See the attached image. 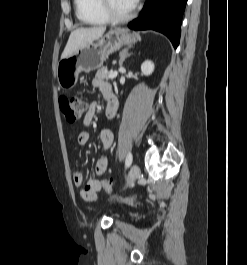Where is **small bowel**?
<instances>
[{"label":"small bowel","instance_id":"small-bowel-1","mask_svg":"<svg viewBox=\"0 0 247 265\" xmlns=\"http://www.w3.org/2000/svg\"><path fill=\"white\" fill-rule=\"evenodd\" d=\"M93 85L101 90V92L106 96L107 98V107L105 110L106 117L109 119H112L116 115L117 111V100L112 93L111 87L100 81V80H94ZM98 104L97 102H92L87 113L84 116L83 123L85 126H88L91 124L95 113L97 111ZM90 134L87 131H82L78 135V144L80 146H84L89 142ZM100 142L102 150H107L113 142V134L109 129H104L100 132ZM108 166V160L106 158L101 159L97 164V173L99 175H103L107 169ZM73 182L76 186H81L84 183V176L81 171H75L73 173ZM102 190V186L100 184V181L97 179L90 178L84 185L82 191H81V197L87 201V202H93L97 198V194Z\"/></svg>","mask_w":247,"mask_h":265}]
</instances>
